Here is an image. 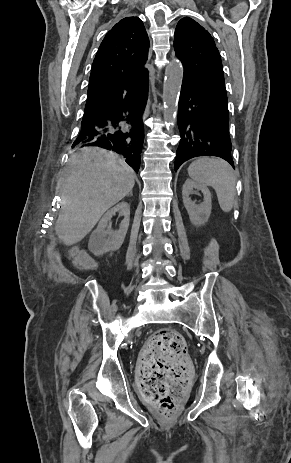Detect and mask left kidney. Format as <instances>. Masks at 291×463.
Masks as SVG:
<instances>
[{"label": "left kidney", "instance_id": "left-kidney-1", "mask_svg": "<svg viewBox=\"0 0 291 463\" xmlns=\"http://www.w3.org/2000/svg\"><path fill=\"white\" fill-rule=\"evenodd\" d=\"M194 189L201 191L204 196L203 202L199 205L190 199V195L195 193ZM182 197L191 223L195 226L204 225L210 217L212 208V198L209 189L205 185L188 179L182 187Z\"/></svg>", "mask_w": 291, "mask_h": 463}]
</instances>
